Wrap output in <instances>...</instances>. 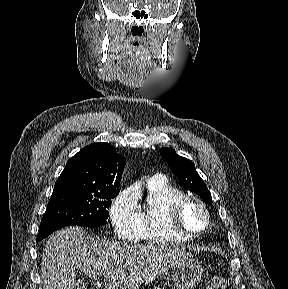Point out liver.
<instances>
[{
    "mask_svg": "<svg viewBox=\"0 0 288 289\" xmlns=\"http://www.w3.org/2000/svg\"><path fill=\"white\" fill-rule=\"evenodd\" d=\"M164 244H127L88 237L71 226L52 234L42 253L43 289H74L76 269L89 278H104L108 289H139L191 258Z\"/></svg>",
    "mask_w": 288,
    "mask_h": 289,
    "instance_id": "liver-1",
    "label": "liver"
}]
</instances>
